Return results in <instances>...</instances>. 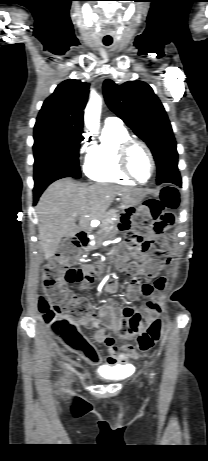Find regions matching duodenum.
I'll return each instance as SVG.
<instances>
[{
  "label": "duodenum",
  "mask_w": 208,
  "mask_h": 461,
  "mask_svg": "<svg viewBox=\"0 0 208 461\" xmlns=\"http://www.w3.org/2000/svg\"><path fill=\"white\" fill-rule=\"evenodd\" d=\"M87 237H89V232H81V233L79 234V238H80L81 240H86V241H87Z\"/></svg>",
  "instance_id": "obj_1"
}]
</instances>
